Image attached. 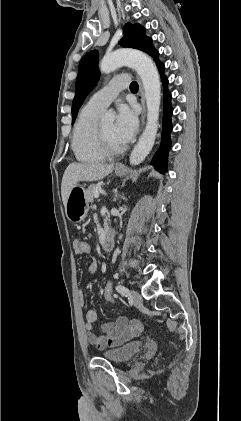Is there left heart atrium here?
Listing matches in <instances>:
<instances>
[{
  "instance_id": "39dd6f15",
  "label": "left heart atrium",
  "mask_w": 241,
  "mask_h": 421,
  "mask_svg": "<svg viewBox=\"0 0 241 421\" xmlns=\"http://www.w3.org/2000/svg\"><path fill=\"white\" fill-rule=\"evenodd\" d=\"M138 127L135 111L126 104L118 107L117 118L114 124L115 137L123 145L130 142Z\"/></svg>"
}]
</instances>
